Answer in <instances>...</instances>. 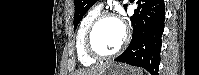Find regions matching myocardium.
Segmentation results:
<instances>
[{"label":"myocardium","instance_id":"f54148a6","mask_svg":"<svg viewBox=\"0 0 199 75\" xmlns=\"http://www.w3.org/2000/svg\"><path fill=\"white\" fill-rule=\"evenodd\" d=\"M105 19L117 20L118 22H120V24L122 25L123 30H124V37H123L121 44L114 51H112L108 54H103V53L98 52L93 46L94 32H95L97 26ZM129 37H130V34L128 31V28L124 25V23L120 20V18L117 15H115L114 13H110V12H101L92 20V22L88 26V28L85 32V36H84V46H85V50L89 56H91L92 58H94L96 60H105V59L112 58V57L118 55L119 53H121L124 50V48L126 47V45L128 44Z\"/></svg>","mask_w":199,"mask_h":75}]
</instances>
